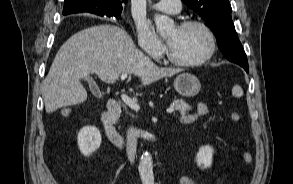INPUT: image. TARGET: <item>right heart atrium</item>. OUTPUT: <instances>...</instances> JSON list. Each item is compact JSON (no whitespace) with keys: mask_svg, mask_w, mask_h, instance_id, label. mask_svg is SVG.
<instances>
[{"mask_svg":"<svg viewBox=\"0 0 293 184\" xmlns=\"http://www.w3.org/2000/svg\"><path fill=\"white\" fill-rule=\"evenodd\" d=\"M137 41L140 48L152 58H159L164 52L161 41L144 23L137 24Z\"/></svg>","mask_w":293,"mask_h":184,"instance_id":"obj_1","label":"right heart atrium"}]
</instances>
